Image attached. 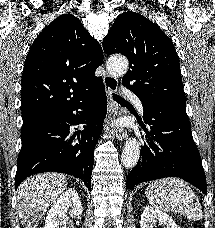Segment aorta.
Returning a JSON list of instances; mask_svg holds the SVG:
<instances>
[{
    "label": "aorta",
    "instance_id": "aorta-1",
    "mask_svg": "<svg viewBox=\"0 0 215 228\" xmlns=\"http://www.w3.org/2000/svg\"><path fill=\"white\" fill-rule=\"evenodd\" d=\"M128 68L129 62L124 56H121V58L115 56V58H111L108 62V70L113 76H123V74H126ZM140 152L138 140H136V138H129L121 156V162L124 168H127V170L134 168L140 158Z\"/></svg>",
    "mask_w": 215,
    "mask_h": 228
}]
</instances>
